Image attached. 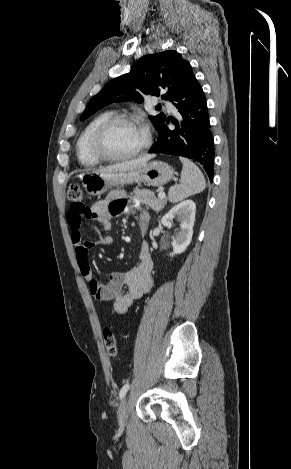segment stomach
Here are the masks:
<instances>
[{"mask_svg":"<svg viewBox=\"0 0 291 469\" xmlns=\"http://www.w3.org/2000/svg\"><path fill=\"white\" fill-rule=\"evenodd\" d=\"M174 176V169L162 161H152L143 166L118 172H86L81 181L86 192L92 196L104 194L114 186L144 182L150 186H162Z\"/></svg>","mask_w":291,"mask_h":469,"instance_id":"stomach-1","label":"stomach"}]
</instances>
